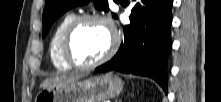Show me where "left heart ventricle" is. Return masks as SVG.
<instances>
[{
	"label": "left heart ventricle",
	"instance_id": "obj_1",
	"mask_svg": "<svg viewBox=\"0 0 221 102\" xmlns=\"http://www.w3.org/2000/svg\"><path fill=\"white\" fill-rule=\"evenodd\" d=\"M110 34L106 26L97 21H85L74 30L69 46L72 59L88 64L100 58L108 49Z\"/></svg>",
	"mask_w": 221,
	"mask_h": 102
}]
</instances>
